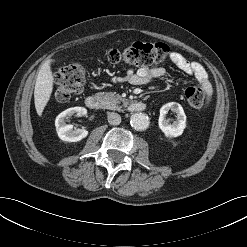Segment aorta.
<instances>
[{"instance_id": "1", "label": "aorta", "mask_w": 247, "mask_h": 247, "mask_svg": "<svg viewBox=\"0 0 247 247\" xmlns=\"http://www.w3.org/2000/svg\"><path fill=\"white\" fill-rule=\"evenodd\" d=\"M130 124L135 130L142 131L149 126V118L144 113H135L131 116Z\"/></svg>"}]
</instances>
